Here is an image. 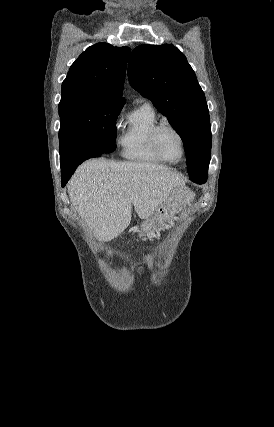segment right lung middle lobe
Returning <instances> with one entry per match:
<instances>
[{"mask_svg": "<svg viewBox=\"0 0 274 427\" xmlns=\"http://www.w3.org/2000/svg\"><path fill=\"white\" fill-rule=\"evenodd\" d=\"M120 101L80 102L59 108L61 166L83 162L115 150Z\"/></svg>", "mask_w": 274, "mask_h": 427, "instance_id": "obj_1", "label": "right lung middle lobe"}]
</instances>
